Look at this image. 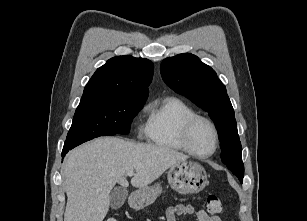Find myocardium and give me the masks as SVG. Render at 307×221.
Returning <instances> with one entry per match:
<instances>
[{"label":"myocardium","instance_id":"myocardium-1","mask_svg":"<svg viewBox=\"0 0 307 221\" xmlns=\"http://www.w3.org/2000/svg\"><path fill=\"white\" fill-rule=\"evenodd\" d=\"M205 122L212 130L213 134H214V148L210 153L207 154H200L197 153L191 146L190 144V133L193 129V127L195 126L196 123L198 122ZM179 140L180 143L183 147V149L189 153L190 155L199 158V159H206L209 158L211 156H213L216 151L218 150L219 147V132L218 129L216 127V125L207 117L202 116V115H193L190 118H188L182 125L181 130H180V134H179Z\"/></svg>","mask_w":307,"mask_h":221}]
</instances>
